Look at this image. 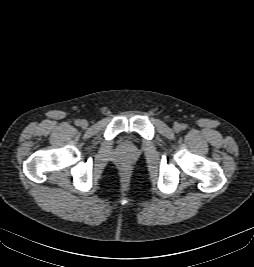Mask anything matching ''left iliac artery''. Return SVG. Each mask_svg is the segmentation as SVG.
<instances>
[{"label": "left iliac artery", "instance_id": "1", "mask_svg": "<svg viewBox=\"0 0 254 267\" xmlns=\"http://www.w3.org/2000/svg\"><path fill=\"white\" fill-rule=\"evenodd\" d=\"M186 127H187V126H186L185 124H182V125H181V129H182V130H185Z\"/></svg>", "mask_w": 254, "mask_h": 267}]
</instances>
